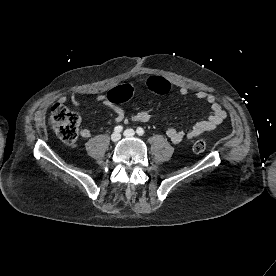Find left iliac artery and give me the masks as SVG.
Returning <instances> with one entry per match:
<instances>
[{
  "label": "left iliac artery",
  "mask_w": 276,
  "mask_h": 276,
  "mask_svg": "<svg viewBox=\"0 0 276 276\" xmlns=\"http://www.w3.org/2000/svg\"><path fill=\"white\" fill-rule=\"evenodd\" d=\"M136 132H137V134L140 135V136L144 135V129L141 128V127H138V128L136 129Z\"/></svg>",
  "instance_id": "left-iliac-artery-1"
}]
</instances>
